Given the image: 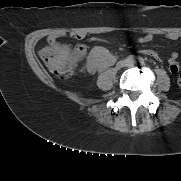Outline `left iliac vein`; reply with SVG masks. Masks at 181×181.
Masks as SVG:
<instances>
[{
    "instance_id": "left-iliac-vein-1",
    "label": "left iliac vein",
    "mask_w": 181,
    "mask_h": 181,
    "mask_svg": "<svg viewBox=\"0 0 181 181\" xmlns=\"http://www.w3.org/2000/svg\"><path fill=\"white\" fill-rule=\"evenodd\" d=\"M128 66H133V63H129Z\"/></svg>"
}]
</instances>
